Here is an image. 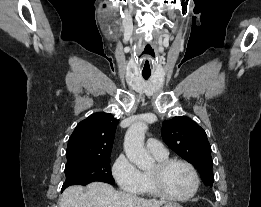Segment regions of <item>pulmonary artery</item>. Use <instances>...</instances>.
<instances>
[{
	"label": "pulmonary artery",
	"mask_w": 261,
	"mask_h": 207,
	"mask_svg": "<svg viewBox=\"0 0 261 207\" xmlns=\"http://www.w3.org/2000/svg\"><path fill=\"white\" fill-rule=\"evenodd\" d=\"M147 148L153 156L165 157L168 155L166 148L156 139H149L147 141Z\"/></svg>",
	"instance_id": "e3ab8cb5"
}]
</instances>
